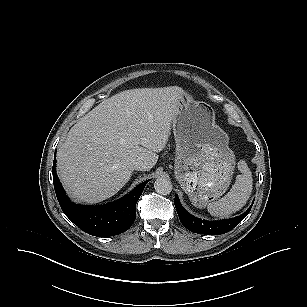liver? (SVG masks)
<instances>
[{
    "label": "liver",
    "mask_w": 307,
    "mask_h": 307,
    "mask_svg": "<svg viewBox=\"0 0 307 307\" xmlns=\"http://www.w3.org/2000/svg\"><path fill=\"white\" fill-rule=\"evenodd\" d=\"M183 93L178 86L126 90L82 117L57 151V172L68 195L98 203L129 181L130 162L150 170L167 144Z\"/></svg>",
    "instance_id": "obj_1"
}]
</instances>
